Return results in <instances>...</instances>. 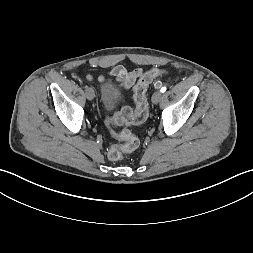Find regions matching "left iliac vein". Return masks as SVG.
<instances>
[{"instance_id":"left-iliac-vein-1","label":"left iliac vein","mask_w":253,"mask_h":253,"mask_svg":"<svg viewBox=\"0 0 253 253\" xmlns=\"http://www.w3.org/2000/svg\"><path fill=\"white\" fill-rule=\"evenodd\" d=\"M162 98V93L160 91H156L153 95H152V102L154 104H157L160 102Z\"/></svg>"}]
</instances>
